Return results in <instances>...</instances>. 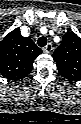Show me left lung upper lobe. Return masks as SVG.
I'll return each instance as SVG.
<instances>
[{"label":"left lung upper lobe","mask_w":81,"mask_h":124,"mask_svg":"<svg viewBox=\"0 0 81 124\" xmlns=\"http://www.w3.org/2000/svg\"><path fill=\"white\" fill-rule=\"evenodd\" d=\"M53 59L59 73L69 81L81 80V38L74 32H67L54 51Z\"/></svg>","instance_id":"5c2ea615"}]
</instances>
